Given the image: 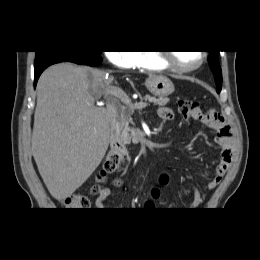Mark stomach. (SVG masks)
Returning <instances> with one entry per match:
<instances>
[{"mask_svg": "<svg viewBox=\"0 0 260 260\" xmlns=\"http://www.w3.org/2000/svg\"><path fill=\"white\" fill-rule=\"evenodd\" d=\"M145 86L151 94L160 98L171 95L175 90L172 81L165 76L149 77Z\"/></svg>", "mask_w": 260, "mask_h": 260, "instance_id": "obj_1", "label": "stomach"}]
</instances>
